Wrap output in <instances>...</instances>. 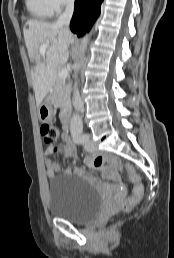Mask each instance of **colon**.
<instances>
[{
	"label": "colon",
	"instance_id": "colon-1",
	"mask_svg": "<svg viewBox=\"0 0 174 258\" xmlns=\"http://www.w3.org/2000/svg\"><path fill=\"white\" fill-rule=\"evenodd\" d=\"M41 135L45 144L54 147L62 133L61 127L54 122H45L41 125ZM128 174L132 183L131 195L122 203V210L129 211L141 198L142 184L138 174L134 169L128 166Z\"/></svg>",
	"mask_w": 174,
	"mask_h": 258
}]
</instances>
